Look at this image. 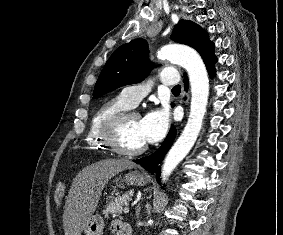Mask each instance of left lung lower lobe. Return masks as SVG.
<instances>
[{
  "label": "left lung lower lobe",
  "mask_w": 283,
  "mask_h": 235,
  "mask_svg": "<svg viewBox=\"0 0 283 235\" xmlns=\"http://www.w3.org/2000/svg\"><path fill=\"white\" fill-rule=\"evenodd\" d=\"M214 64L207 67L208 73L211 76H213L214 73H215ZM184 83H185V89H187L188 88V80H187L186 75H185ZM175 136H176V129L174 127H171V129H170L167 137L165 138L163 144L161 145V147L156 152H154L153 154H151L147 157H143L141 159L133 160L135 163L141 165L142 167H144V169L151 172L152 174L155 171H157L156 177H157L158 182H160V178H159L160 168L158 167V164L162 161L165 154L167 153V151L171 147V145H172V143L175 139Z\"/></svg>",
  "instance_id": "0a47b994"
}]
</instances>
